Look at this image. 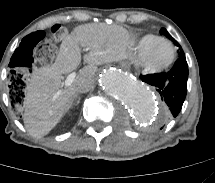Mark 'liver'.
I'll list each match as a JSON object with an SVG mask.
<instances>
[{
    "label": "liver",
    "mask_w": 215,
    "mask_h": 183,
    "mask_svg": "<svg viewBox=\"0 0 215 183\" xmlns=\"http://www.w3.org/2000/svg\"><path fill=\"white\" fill-rule=\"evenodd\" d=\"M132 44L128 31L122 26L105 23L77 26L62 41L54 64L35 70L28 81L23 114L27 131L38 138L47 135L77 98L78 83L94 82L97 65L126 58ZM80 46L89 51L84 55L88 65L79 70L70 86L63 88L62 74L76 70L81 62Z\"/></svg>",
    "instance_id": "1"
}]
</instances>
